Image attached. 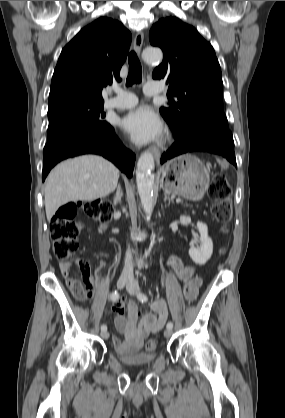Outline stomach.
Returning <instances> with one entry per match:
<instances>
[{"mask_svg":"<svg viewBox=\"0 0 285 418\" xmlns=\"http://www.w3.org/2000/svg\"><path fill=\"white\" fill-rule=\"evenodd\" d=\"M162 188L189 200L203 198L210 176L203 162L196 156L185 154L167 162L160 171Z\"/></svg>","mask_w":285,"mask_h":418,"instance_id":"1","label":"stomach"}]
</instances>
